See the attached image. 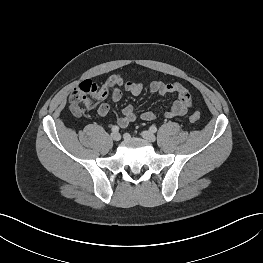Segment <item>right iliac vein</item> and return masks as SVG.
I'll return each instance as SVG.
<instances>
[{
    "label": "right iliac vein",
    "mask_w": 263,
    "mask_h": 263,
    "mask_svg": "<svg viewBox=\"0 0 263 263\" xmlns=\"http://www.w3.org/2000/svg\"><path fill=\"white\" fill-rule=\"evenodd\" d=\"M111 138L114 141H119L121 139V135L118 132H113V133H111Z\"/></svg>",
    "instance_id": "1"
}]
</instances>
